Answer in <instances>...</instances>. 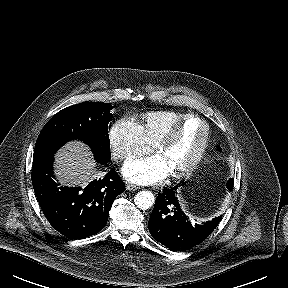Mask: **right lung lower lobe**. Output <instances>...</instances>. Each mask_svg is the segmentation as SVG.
<instances>
[{
  "instance_id": "98d812e1",
  "label": "right lung lower lobe",
  "mask_w": 288,
  "mask_h": 288,
  "mask_svg": "<svg viewBox=\"0 0 288 288\" xmlns=\"http://www.w3.org/2000/svg\"><path fill=\"white\" fill-rule=\"evenodd\" d=\"M52 163L53 155L33 160L32 184L45 217L52 227L71 239L98 233L107 223L115 198L125 191L118 173L111 169L103 179H95L84 189L67 188L55 182Z\"/></svg>"
}]
</instances>
